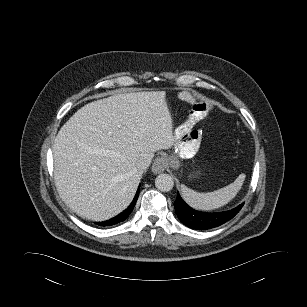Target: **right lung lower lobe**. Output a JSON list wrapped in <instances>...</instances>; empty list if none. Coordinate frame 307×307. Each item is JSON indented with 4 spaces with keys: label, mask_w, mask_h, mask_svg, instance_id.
Listing matches in <instances>:
<instances>
[{
    "label": "right lung lower lobe",
    "mask_w": 307,
    "mask_h": 307,
    "mask_svg": "<svg viewBox=\"0 0 307 307\" xmlns=\"http://www.w3.org/2000/svg\"><path fill=\"white\" fill-rule=\"evenodd\" d=\"M139 188L137 190L135 198L133 199L132 203L130 204V206L126 210H124L122 213H120L119 215H117L116 217H114L110 220L97 223V225L106 227V226H112V225H115V224H118V223L124 221L129 216V214L132 212V210L135 206V203H136L138 196H139Z\"/></svg>",
    "instance_id": "98d812e1"
}]
</instances>
